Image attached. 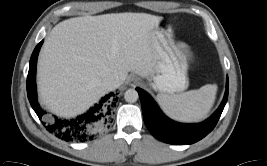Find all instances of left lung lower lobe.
I'll return each mask as SVG.
<instances>
[{"mask_svg":"<svg viewBox=\"0 0 267 166\" xmlns=\"http://www.w3.org/2000/svg\"><path fill=\"white\" fill-rule=\"evenodd\" d=\"M136 90L141 100L144 122L151 134L168 144L188 145L204 138L217 124L228 98V79L221 105L210 118L199 124H182L170 120L148 93L140 88Z\"/></svg>","mask_w":267,"mask_h":166,"instance_id":"0a47b994","label":"left lung lower lobe"}]
</instances>
